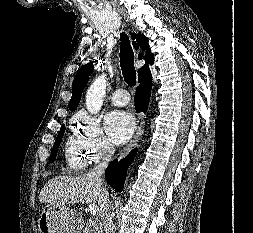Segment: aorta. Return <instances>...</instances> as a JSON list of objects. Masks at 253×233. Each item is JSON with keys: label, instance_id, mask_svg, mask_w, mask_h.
Masks as SVG:
<instances>
[{"label": "aorta", "instance_id": "aorta-1", "mask_svg": "<svg viewBox=\"0 0 253 233\" xmlns=\"http://www.w3.org/2000/svg\"><path fill=\"white\" fill-rule=\"evenodd\" d=\"M105 91L106 77L101 75L95 79L86 93L85 104L89 113L97 114L101 110Z\"/></svg>", "mask_w": 253, "mask_h": 233}]
</instances>
